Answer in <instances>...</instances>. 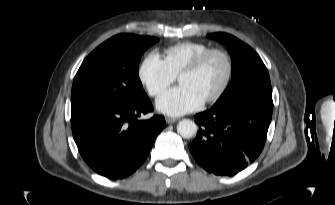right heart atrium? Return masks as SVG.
Here are the masks:
<instances>
[{
	"mask_svg": "<svg viewBox=\"0 0 335 205\" xmlns=\"http://www.w3.org/2000/svg\"><path fill=\"white\" fill-rule=\"evenodd\" d=\"M175 77L163 60L153 52L143 59L138 69L139 81L152 97L160 95Z\"/></svg>",
	"mask_w": 335,
	"mask_h": 205,
	"instance_id": "1",
	"label": "right heart atrium"
}]
</instances>
